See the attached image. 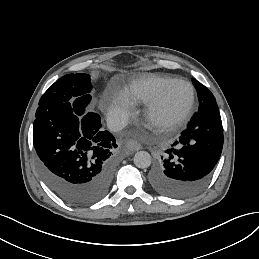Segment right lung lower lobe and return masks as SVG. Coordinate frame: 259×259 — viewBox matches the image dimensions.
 <instances>
[{
    "label": "right lung lower lobe",
    "instance_id": "right-lung-lower-lobe-1",
    "mask_svg": "<svg viewBox=\"0 0 259 259\" xmlns=\"http://www.w3.org/2000/svg\"><path fill=\"white\" fill-rule=\"evenodd\" d=\"M33 124L39 172L50 189L73 206H85L110 190L116 148L97 113H79L70 102L40 105Z\"/></svg>",
    "mask_w": 259,
    "mask_h": 259
}]
</instances>
